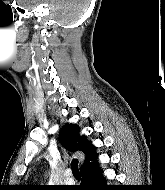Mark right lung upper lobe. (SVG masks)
<instances>
[{"label":"right lung upper lobe","instance_id":"1","mask_svg":"<svg viewBox=\"0 0 165 190\" xmlns=\"http://www.w3.org/2000/svg\"><path fill=\"white\" fill-rule=\"evenodd\" d=\"M59 140L68 150L82 151L85 154L82 169L95 162V147L90 145L88 141H85L83 136H80L78 127L67 123L59 133ZM25 188L30 189L31 187L25 186Z\"/></svg>","mask_w":165,"mask_h":190}]
</instances>
